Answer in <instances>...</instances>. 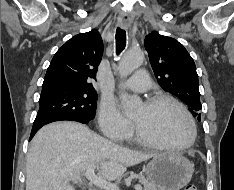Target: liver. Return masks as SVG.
<instances>
[{
	"mask_svg": "<svg viewBox=\"0 0 234 190\" xmlns=\"http://www.w3.org/2000/svg\"><path fill=\"white\" fill-rule=\"evenodd\" d=\"M155 154L119 146L76 122H55L34 136L26 159V190H75L90 166L104 180L121 177L127 167Z\"/></svg>",
	"mask_w": 234,
	"mask_h": 190,
	"instance_id": "liver-1",
	"label": "liver"
}]
</instances>
